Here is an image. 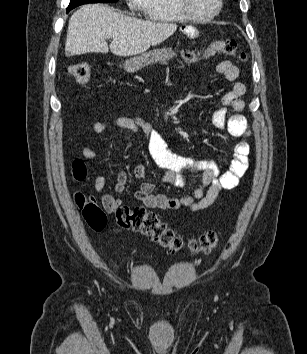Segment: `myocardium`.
<instances>
[{
	"label": "myocardium",
	"mask_w": 307,
	"mask_h": 354,
	"mask_svg": "<svg viewBox=\"0 0 307 354\" xmlns=\"http://www.w3.org/2000/svg\"><path fill=\"white\" fill-rule=\"evenodd\" d=\"M176 5L179 12L185 17V19L194 22H209L216 18L220 13L223 7V0H217V7L215 11L207 16H196L192 14L188 8V0H176Z\"/></svg>",
	"instance_id": "myocardium-1"
}]
</instances>
